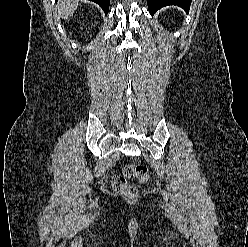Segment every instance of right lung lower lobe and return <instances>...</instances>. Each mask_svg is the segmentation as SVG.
Wrapping results in <instances>:
<instances>
[{
  "instance_id": "obj_1",
  "label": "right lung lower lobe",
  "mask_w": 248,
  "mask_h": 247,
  "mask_svg": "<svg viewBox=\"0 0 248 247\" xmlns=\"http://www.w3.org/2000/svg\"><path fill=\"white\" fill-rule=\"evenodd\" d=\"M90 1L97 3L103 9V11L105 12V15H107L108 10H109L110 0H90Z\"/></svg>"
}]
</instances>
